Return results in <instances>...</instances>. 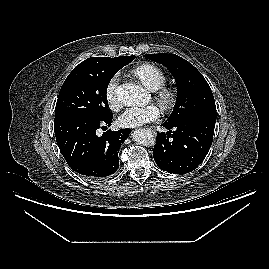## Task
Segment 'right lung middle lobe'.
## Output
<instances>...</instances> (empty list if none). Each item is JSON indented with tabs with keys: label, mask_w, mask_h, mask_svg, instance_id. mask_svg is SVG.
I'll return each mask as SVG.
<instances>
[{
	"label": "right lung middle lobe",
	"mask_w": 269,
	"mask_h": 269,
	"mask_svg": "<svg viewBox=\"0 0 269 269\" xmlns=\"http://www.w3.org/2000/svg\"><path fill=\"white\" fill-rule=\"evenodd\" d=\"M134 58L119 64L80 63L61 87L55 117L68 114L87 115L99 120L112 117L107 105V86L112 77Z\"/></svg>",
	"instance_id": "obj_1"
}]
</instances>
